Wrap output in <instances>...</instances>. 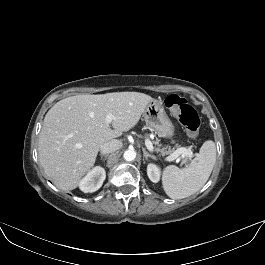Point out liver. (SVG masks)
<instances>
[{"instance_id":"1","label":"liver","mask_w":265,"mask_h":265,"mask_svg":"<svg viewBox=\"0 0 265 265\" xmlns=\"http://www.w3.org/2000/svg\"><path fill=\"white\" fill-rule=\"evenodd\" d=\"M153 99L139 92L77 95L57 102L39 135V160L63 191L75 189L94 166L100 147L132 129ZM112 114V127L106 116ZM122 146V143H121Z\"/></svg>"}]
</instances>
